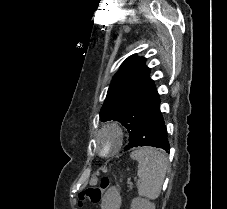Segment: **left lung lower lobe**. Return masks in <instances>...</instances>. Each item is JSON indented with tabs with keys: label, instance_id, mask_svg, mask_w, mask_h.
Here are the masks:
<instances>
[{
	"label": "left lung lower lobe",
	"instance_id": "1",
	"mask_svg": "<svg viewBox=\"0 0 227 209\" xmlns=\"http://www.w3.org/2000/svg\"><path fill=\"white\" fill-rule=\"evenodd\" d=\"M160 98L142 117L131 144L126 150L133 147L152 146L162 148L166 151L170 149L167 140L166 126L159 108Z\"/></svg>",
	"mask_w": 227,
	"mask_h": 209
}]
</instances>
